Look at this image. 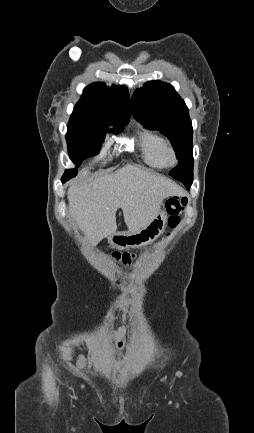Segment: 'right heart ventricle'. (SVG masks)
Here are the masks:
<instances>
[{"label": "right heart ventricle", "mask_w": 254, "mask_h": 433, "mask_svg": "<svg viewBox=\"0 0 254 433\" xmlns=\"http://www.w3.org/2000/svg\"><path fill=\"white\" fill-rule=\"evenodd\" d=\"M137 142L144 163L156 169L166 167L162 158V149L166 142L160 135L141 128L137 133Z\"/></svg>", "instance_id": "right-heart-ventricle-1"}]
</instances>
